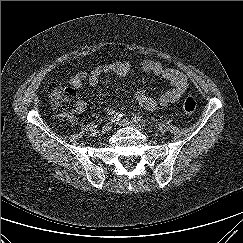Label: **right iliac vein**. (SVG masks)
<instances>
[{"mask_svg":"<svg viewBox=\"0 0 243 243\" xmlns=\"http://www.w3.org/2000/svg\"><path fill=\"white\" fill-rule=\"evenodd\" d=\"M112 128V124L108 123L107 125H105L102 130H101V134H106L108 131H110Z\"/></svg>","mask_w":243,"mask_h":243,"instance_id":"63e3f726","label":"right iliac vein"}]
</instances>
